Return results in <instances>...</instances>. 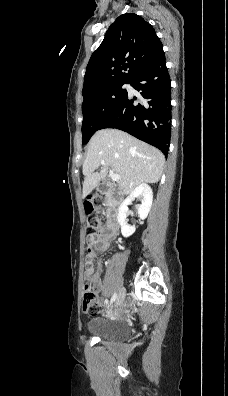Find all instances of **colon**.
<instances>
[{"instance_id":"colon-1","label":"colon","mask_w":228,"mask_h":396,"mask_svg":"<svg viewBox=\"0 0 228 396\" xmlns=\"http://www.w3.org/2000/svg\"><path fill=\"white\" fill-rule=\"evenodd\" d=\"M102 204L103 198L99 195L90 196L89 200L84 204L85 212L87 214L88 239H92L94 234L104 227V220L100 216L94 214L95 208L100 207ZM95 230L96 232H94ZM83 309L90 315H100L108 311L106 305L98 302L96 294L91 290L89 283L85 286Z\"/></svg>"}]
</instances>
